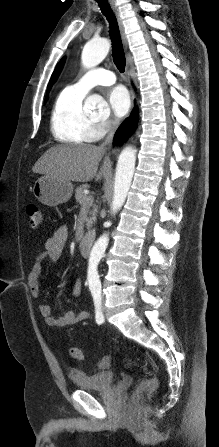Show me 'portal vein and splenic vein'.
<instances>
[{
	"instance_id": "obj_1",
	"label": "portal vein and splenic vein",
	"mask_w": 219,
	"mask_h": 447,
	"mask_svg": "<svg viewBox=\"0 0 219 447\" xmlns=\"http://www.w3.org/2000/svg\"><path fill=\"white\" fill-rule=\"evenodd\" d=\"M90 200H91V198H87V199H86V202H89Z\"/></svg>"
}]
</instances>
